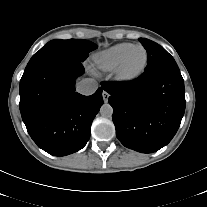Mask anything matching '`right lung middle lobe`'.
Segmentation results:
<instances>
[{"instance_id":"dd1d6c3e","label":"right lung middle lobe","mask_w":207,"mask_h":207,"mask_svg":"<svg viewBox=\"0 0 207 207\" xmlns=\"http://www.w3.org/2000/svg\"><path fill=\"white\" fill-rule=\"evenodd\" d=\"M96 48V44L87 40L55 39L48 42L38 52H36L28 62L27 67L55 57H65L83 62L88 57L89 52L95 50Z\"/></svg>"}]
</instances>
